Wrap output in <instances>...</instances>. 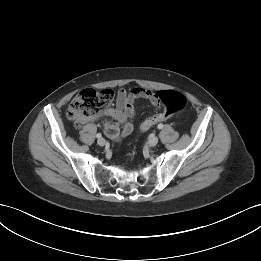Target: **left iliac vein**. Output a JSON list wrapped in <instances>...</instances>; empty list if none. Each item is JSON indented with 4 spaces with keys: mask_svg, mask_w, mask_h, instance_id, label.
I'll use <instances>...</instances> for the list:
<instances>
[{
    "mask_svg": "<svg viewBox=\"0 0 261 261\" xmlns=\"http://www.w3.org/2000/svg\"><path fill=\"white\" fill-rule=\"evenodd\" d=\"M158 141H159L158 137L154 136L149 139L148 143L150 146L153 147V146L157 145Z\"/></svg>",
    "mask_w": 261,
    "mask_h": 261,
    "instance_id": "left-iliac-vein-1",
    "label": "left iliac vein"
}]
</instances>
